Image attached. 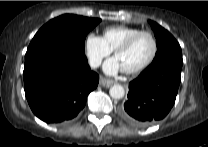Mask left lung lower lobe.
I'll use <instances>...</instances> for the list:
<instances>
[{
	"mask_svg": "<svg viewBox=\"0 0 208 147\" xmlns=\"http://www.w3.org/2000/svg\"><path fill=\"white\" fill-rule=\"evenodd\" d=\"M182 64L163 59L148 66L129 83L128 99L119 109L120 117L135 127L163 119L175 103Z\"/></svg>",
	"mask_w": 208,
	"mask_h": 147,
	"instance_id": "obj_1",
	"label": "left lung lower lobe"
}]
</instances>
